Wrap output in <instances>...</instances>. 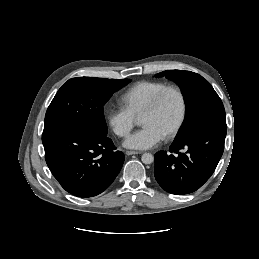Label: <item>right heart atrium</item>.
I'll return each mask as SVG.
<instances>
[{"instance_id": "obj_1", "label": "right heart atrium", "mask_w": 259, "mask_h": 259, "mask_svg": "<svg viewBox=\"0 0 259 259\" xmlns=\"http://www.w3.org/2000/svg\"><path fill=\"white\" fill-rule=\"evenodd\" d=\"M106 120L114 134L124 138L129 135L137 119L125 107H114L107 111Z\"/></svg>"}]
</instances>
